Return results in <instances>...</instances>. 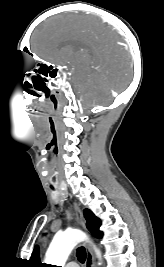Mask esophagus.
Segmentation results:
<instances>
[{
	"mask_svg": "<svg viewBox=\"0 0 164 267\" xmlns=\"http://www.w3.org/2000/svg\"><path fill=\"white\" fill-rule=\"evenodd\" d=\"M74 209L76 212L77 219L83 229H86V224L85 220L82 214V211L80 210L79 206L74 203ZM86 267H95V262H94V256L93 253L89 247V245H86Z\"/></svg>",
	"mask_w": 164,
	"mask_h": 267,
	"instance_id": "esophagus-1",
	"label": "esophagus"
}]
</instances>
